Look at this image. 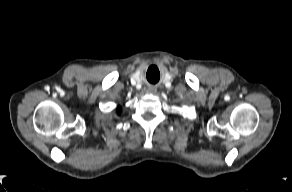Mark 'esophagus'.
Listing matches in <instances>:
<instances>
[{"label": "esophagus", "mask_w": 292, "mask_h": 192, "mask_svg": "<svg viewBox=\"0 0 292 192\" xmlns=\"http://www.w3.org/2000/svg\"><path fill=\"white\" fill-rule=\"evenodd\" d=\"M147 93L154 94V93H156V89L153 88V87H150V88L147 89Z\"/></svg>", "instance_id": "esophagus-1"}]
</instances>
